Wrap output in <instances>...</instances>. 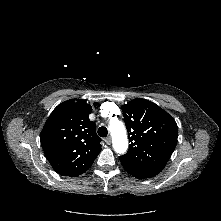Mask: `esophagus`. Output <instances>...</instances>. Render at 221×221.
Wrapping results in <instances>:
<instances>
[{"label":"esophagus","instance_id":"1","mask_svg":"<svg viewBox=\"0 0 221 221\" xmlns=\"http://www.w3.org/2000/svg\"><path fill=\"white\" fill-rule=\"evenodd\" d=\"M104 141H105L106 144L110 145L111 144V137L110 136L106 137L104 139Z\"/></svg>","mask_w":221,"mask_h":221}]
</instances>
